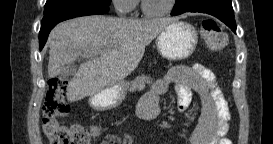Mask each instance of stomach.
<instances>
[{
	"label": "stomach",
	"instance_id": "stomach-1",
	"mask_svg": "<svg viewBox=\"0 0 273 144\" xmlns=\"http://www.w3.org/2000/svg\"><path fill=\"white\" fill-rule=\"evenodd\" d=\"M198 41L196 29L189 23L175 21L168 24L159 34L156 45L159 53L171 61L189 57L195 50ZM128 83H119L90 95V106L98 111L110 110L125 99Z\"/></svg>",
	"mask_w": 273,
	"mask_h": 144
}]
</instances>
